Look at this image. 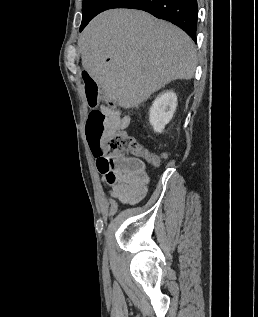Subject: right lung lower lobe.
<instances>
[{"instance_id":"98d812e1","label":"right lung lower lobe","mask_w":258,"mask_h":317,"mask_svg":"<svg viewBox=\"0 0 258 317\" xmlns=\"http://www.w3.org/2000/svg\"><path fill=\"white\" fill-rule=\"evenodd\" d=\"M111 8L146 11L159 19L177 25L196 42L197 0H89L82 8L80 31L97 14Z\"/></svg>"}]
</instances>
